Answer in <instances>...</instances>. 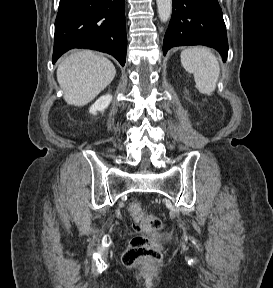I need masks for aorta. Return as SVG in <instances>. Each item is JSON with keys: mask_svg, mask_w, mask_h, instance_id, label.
<instances>
[{"mask_svg": "<svg viewBox=\"0 0 273 288\" xmlns=\"http://www.w3.org/2000/svg\"><path fill=\"white\" fill-rule=\"evenodd\" d=\"M156 3L161 22H167L172 13V0H156Z\"/></svg>", "mask_w": 273, "mask_h": 288, "instance_id": "aorta-1", "label": "aorta"}]
</instances>
